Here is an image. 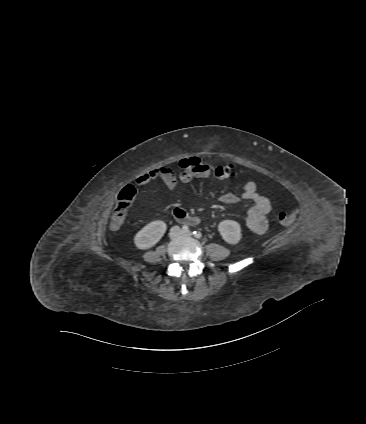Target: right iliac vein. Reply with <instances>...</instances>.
<instances>
[{
    "label": "right iliac vein",
    "instance_id": "right-iliac-vein-1",
    "mask_svg": "<svg viewBox=\"0 0 366 424\" xmlns=\"http://www.w3.org/2000/svg\"><path fill=\"white\" fill-rule=\"evenodd\" d=\"M180 234H181V231H180L178 228H174V229L171 231L170 236L173 238V237H177V236H179Z\"/></svg>",
    "mask_w": 366,
    "mask_h": 424
}]
</instances>
